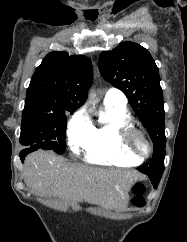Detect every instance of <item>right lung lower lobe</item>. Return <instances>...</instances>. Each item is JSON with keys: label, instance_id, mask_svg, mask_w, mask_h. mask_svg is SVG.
<instances>
[{"label": "right lung lower lobe", "instance_id": "98d812e1", "mask_svg": "<svg viewBox=\"0 0 187 242\" xmlns=\"http://www.w3.org/2000/svg\"><path fill=\"white\" fill-rule=\"evenodd\" d=\"M36 150H37L36 148H26V149H23V150L20 152V154H19L22 163H23L24 158L26 157L27 154H29V153H31V152H33V151H36Z\"/></svg>", "mask_w": 187, "mask_h": 242}]
</instances>
